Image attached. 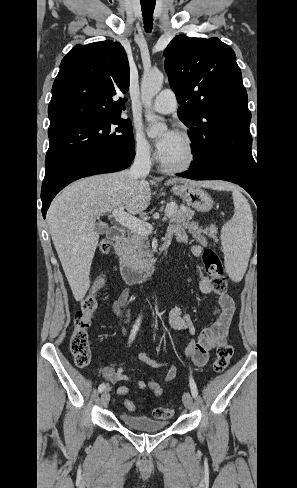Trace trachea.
<instances>
[{
	"instance_id": "trachea-1",
	"label": "trachea",
	"mask_w": 297,
	"mask_h": 488,
	"mask_svg": "<svg viewBox=\"0 0 297 488\" xmlns=\"http://www.w3.org/2000/svg\"><path fill=\"white\" fill-rule=\"evenodd\" d=\"M142 15L144 19V28L147 33L151 32L153 25V12L155 8V2H148L147 0L141 1Z\"/></svg>"
}]
</instances>
